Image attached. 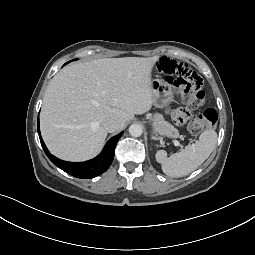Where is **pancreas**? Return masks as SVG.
<instances>
[{
    "label": "pancreas",
    "mask_w": 255,
    "mask_h": 255,
    "mask_svg": "<svg viewBox=\"0 0 255 255\" xmlns=\"http://www.w3.org/2000/svg\"><path fill=\"white\" fill-rule=\"evenodd\" d=\"M153 126L155 132L161 135L173 138L179 137L178 130L172 124L165 121L161 114L156 113L153 115Z\"/></svg>",
    "instance_id": "pancreas-1"
}]
</instances>
